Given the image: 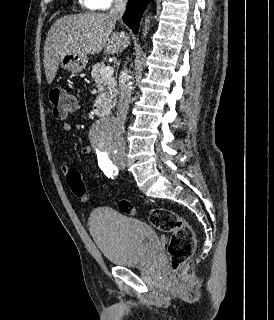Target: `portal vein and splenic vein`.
Masks as SVG:
<instances>
[{"label":"portal vein and splenic vein","instance_id":"1","mask_svg":"<svg viewBox=\"0 0 274 320\" xmlns=\"http://www.w3.org/2000/svg\"><path fill=\"white\" fill-rule=\"evenodd\" d=\"M100 74L103 78H111L114 74V70L111 66H107V68H103V70H101Z\"/></svg>","mask_w":274,"mask_h":320}]
</instances>
